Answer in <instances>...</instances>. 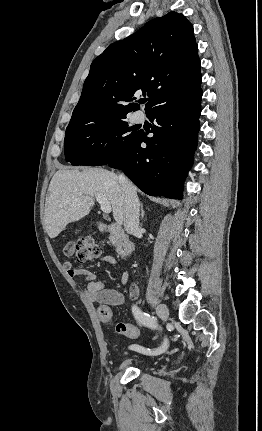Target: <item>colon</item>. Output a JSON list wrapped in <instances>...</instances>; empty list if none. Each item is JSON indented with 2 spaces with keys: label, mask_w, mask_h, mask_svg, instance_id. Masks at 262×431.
<instances>
[{
  "label": "colon",
  "mask_w": 262,
  "mask_h": 431,
  "mask_svg": "<svg viewBox=\"0 0 262 431\" xmlns=\"http://www.w3.org/2000/svg\"><path fill=\"white\" fill-rule=\"evenodd\" d=\"M101 249L90 238L73 239L66 243L64 247V254L66 256H74L75 259L80 262H90L95 260L100 255ZM100 319L111 324L113 319L110 318L106 312L99 314ZM116 330L119 334L128 336L129 338H137L139 336V330L134 326H129L123 323H119L116 326Z\"/></svg>",
  "instance_id": "colon-1"
}]
</instances>
